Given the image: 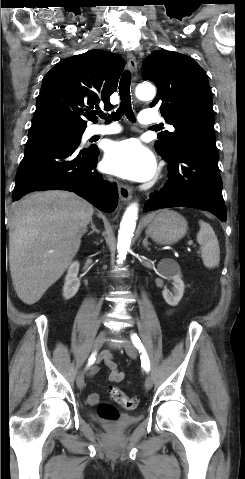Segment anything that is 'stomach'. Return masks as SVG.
Segmentation results:
<instances>
[{
    "instance_id": "stomach-1",
    "label": "stomach",
    "mask_w": 245,
    "mask_h": 479,
    "mask_svg": "<svg viewBox=\"0 0 245 479\" xmlns=\"http://www.w3.org/2000/svg\"><path fill=\"white\" fill-rule=\"evenodd\" d=\"M187 225L186 219L179 213L162 210L152 218L146 234L158 244L169 245L185 236Z\"/></svg>"
}]
</instances>
